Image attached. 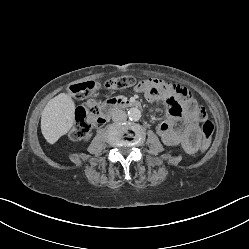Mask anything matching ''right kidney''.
Here are the masks:
<instances>
[{"label":"right kidney","instance_id":"obj_1","mask_svg":"<svg viewBox=\"0 0 249 249\" xmlns=\"http://www.w3.org/2000/svg\"><path fill=\"white\" fill-rule=\"evenodd\" d=\"M90 135H91V136H94V135H95V132H94V131H91V132H90ZM90 140H91V137H90V136H87V137L85 138V142H86V143H89Z\"/></svg>","mask_w":249,"mask_h":249}]
</instances>
